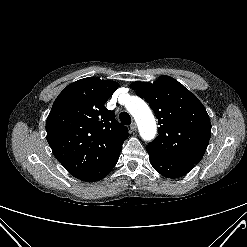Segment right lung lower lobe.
<instances>
[{"label": "right lung lower lobe", "instance_id": "98d812e1", "mask_svg": "<svg viewBox=\"0 0 247 247\" xmlns=\"http://www.w3.org/2000/svg\"><path fill=\"white\" fill-rule=\"evenodd\" d=\"M119 155L114 158L112 161H110L108 164L103 166L102 168L98 169L93 174L87 176L86 178L82 179V181L85 182H95L103 179L116 165L118 161Z\"/></svg>", "mask_w": 247, "mask_h": 247}]
</instances>
